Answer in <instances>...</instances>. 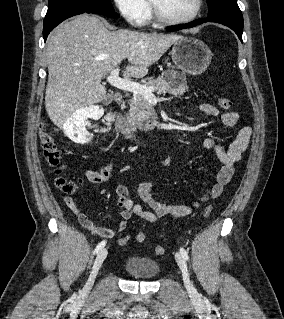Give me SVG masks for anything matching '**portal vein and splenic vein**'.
<instances>
[{"mask_svg": "<svg viewBox=\"0 0 284 319\" xmlns=\"http://www.w3.org/2000/svg\"><path fill=\"white\" fill-rule=\"evenodd\" d=\"M119 71H120L119 68H116L112 70L110 75L107 77V81L110 85L124 91L140 94L144 96L149 102H157V98L153 94L156 88L147 87L145 85H142L127 79H122L119 77Z\"/></svg>", "mask_w": 284, "mask_h": 319, "instance_id": "1", "label": "portal vein and splenic vein"}]
</instances>
